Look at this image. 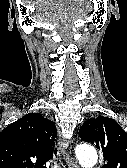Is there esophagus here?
I'll list each match as a JSON object with an SVG mask.
<instances>
[{"instance_id": "esophagus-1", "label": "esophagus", "mask_w": 127, "mask_h": 168, "mask_svg": "<svg viewBox=\"0 0 127 168\" xmlns=\"http://www.w3.org/2000/svg\"><path fill=\"white\" fill-rule=\"evenodd\" d=\"M67 159L68 168H79L77 162L73 158L67 157Z\"/></svg>"}]
</instances>
